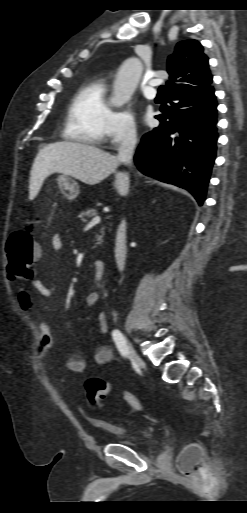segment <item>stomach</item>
I'll list each match as a JSON object with an SVG mask.
<instances>
[{"instance_id":"stomach-1","label":"stomach","mask_w":247,"mask_h":513,"mask_svg":"<svg viewBox=\"0 0 247 513\" xmlns=\"http://www.w3.org/2000/svg\"><path fill=\"white\" fill-rule=\"evenodd\" d=\"M59 188L67 198L73 199L79 194V185L70 175L60 174L57 178Z\"/></svg>"}]
</instances>
